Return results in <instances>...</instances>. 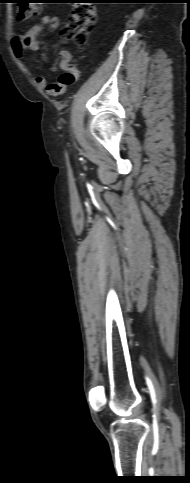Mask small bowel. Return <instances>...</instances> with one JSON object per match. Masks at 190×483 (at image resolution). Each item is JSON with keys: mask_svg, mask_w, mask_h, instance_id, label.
Masks as SVG:
<instances>
[{"mask_svg": "<svg viewBox=\"0 0 190 483\" xmlns=\"http://www.w3.org/2000/svg\"><path fill=\"white\" fill-rule=\"evenodd\" d=\"M60 24L61 22L58 17L45 15L43 16L39 24L30 28L27 32L15 34L10 42L13 55L16 58L21 59L25 51H37L39 48L38 35L42 27L48 25L50 29L57 30L59 29ZM69 62L70 55L68 53H63L61 58L62 68L65 71L71 72L74 75L75 79H77L79 75V70L75 66L71 65ZM35 81L39 87L45 88L46 91L53 96L60 94L64 90H58L56 88V83H49L44 75H37L35 77Z\"/></svg>", "mask_w": 190, "mask_h": 483, "instance_id": "c3829d8e", "label": "small bowel"}]
</instances>
